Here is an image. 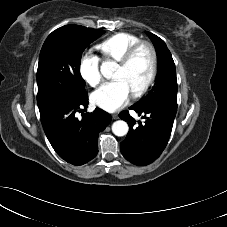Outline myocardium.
Here are the masks:
<instances>
[{"mask_svg": "<svg viewBox=\"0 0 227 227\" xmlns=\"http://www.w3.org/2000/svg\"><path fill=\"white\" fill-rule=\"evenodd\" d=\"M147 49L150 55V72L145 80V82L136 90L132 93L133 98H139L143 94L146 93V91L150 88V86L153 84L157 72H158V55L156 52V49L154 45L148 41H139L133 46H131L124 56L118 61L119 67L121 68H126L128 67L133 59L135 58L136 54L141 50V49Z\"/></svg>", "mask_w": 227, "mask_h": 227, "instance_id": "1", "label": "myocardium"}]
</instances>
